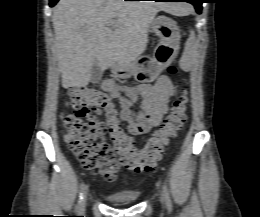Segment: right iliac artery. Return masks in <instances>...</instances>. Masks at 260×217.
Returning <instances> with one entry per match:
<instances>
[{
  "instance_id": "obj_1",
  "label": "right iliac artery",
  "mask_w": 260,
  "mask_h": 217,
  "mask_svg": "<svg viewBox=\"0 0 260 217\" xmlns=\"http://www.w3.org/2000/svg\"><path fill=\"white\" fill-rule=\"evenodd\" d=\"M84 190H85V185L84 183L80 184V189H79V198H78V203L76 205V211L79 212L80 211V207H81V202L84 196Z\"/></svg>"
}]
</instances>
